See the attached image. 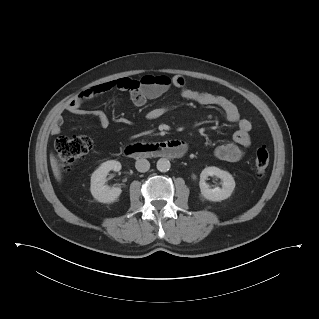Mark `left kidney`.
Segmentation results:
<instances>
[{
  "mask_svg": "<svg viewBox=\"0 0 319 319\" xmlns=\"http://www.w3.org/2000/svg\"><path fill=\"white\" fill-rule=\"evenodd\" d=\"M208 176H216L222 180V188L211 189L206 183ZM201 194L209 201L219 202L229 198L235 188V181L232 175L215 166L206 167L200 174L199 182Z\"/></svg>",
  "mask_w": 319,
  "mask_h": 319,
  "instance_id": "obj_1",
  "label": "left kidney"
}]
</instances>
